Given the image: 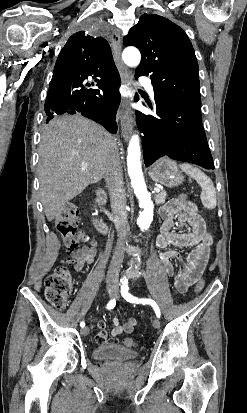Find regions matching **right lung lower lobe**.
Listing matches in <instances>:
<instances>
[{
  "label": "right lung lower lobe",
  "mask_w": 247,
  "mask_h": 413,
  "mask_svg": "<svg viewBox=\"0 0 247 413\" xmlns=\"http://www.w3.org/2000/svg\"><path fill=\"white\" fill-rule=\"evenodd\" d=\"M86 75L64 74L52 77L50 84L69 89L67 95L59 99H46L45 112L47 122L56 115L81 113L103 125L109 132H117L116 112L121 100L119 86L121 84L119 73L93 78L99 90L85 88Z\"/></svg>",
  "instance_id": "98d812e1"
}]
</instances>
